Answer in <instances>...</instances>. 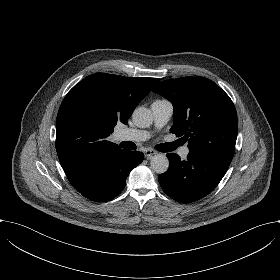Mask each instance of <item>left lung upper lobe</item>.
Listing matches in <instances>:
<instances>
[{"mask_svg":"<svg viewBox=\"0 0 280 280\" xmlns=\"http://www.w3.org/2000/svg\"><path fill=\"white\" fill-rule=\"evenodd\" d=\"M153 92L173 104L171 132L188 141L191 153L232 160L238 133L236 109L215 82L183 77L162 81Z\"/></svg>","mask_w":280,"mask_h":280,"instance_id":"left-lung-upper-lobe-1","label":"left lung upper lobe"}]
</instances>
